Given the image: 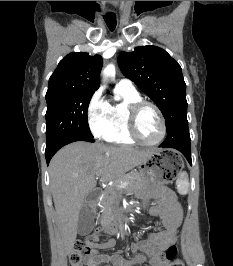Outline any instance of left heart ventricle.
<instances>
[{"mask_svg": "<svg viewBox=\"0 0 233 266\" xmlns=\"http://www.w3.org/2000/svg\"><path fill=\"white\" fill-rule=\"evenodd\" d=\"M138 133L142 139L148 142L156 141L161 134L159 117L152 107H144L137 120Z\"/></svg>", "mask_w": 233, "mask_h": 266, "instance_id": "b2bd125f", "label": "left heart ventricle"}]
</instances>
